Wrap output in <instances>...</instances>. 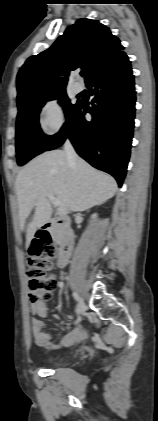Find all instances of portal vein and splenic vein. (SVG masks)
<instances>
[{"label": "portal vein and splenic vein", "mask_w": 158, "mask_h": 421, "mask_svg": "<svg viewBox=\"0 0 158 421\" xmlns=\"http://www.w3.org/2000/svg\"><path fill=\"white\" fill-rule=\"evenodd\" d=\"M48 199L53 203L54 206H59L60 205V201L55 198L52 194H48Z\"/></svg>", "instance_id": "portal-vein-and-splenic-vein-1"}]
</instances>
